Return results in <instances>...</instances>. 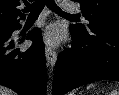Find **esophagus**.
<instances>
[{
  "label": "esophagus",
  "mask_w": 119,
  "mask_h": 95,
  "mask_svg": "<svg viewBox=\"0 0 119 95\" xmlns=\"http://www.w3.org/2000/svg\"><path fill=\"white\" fill-rule=\"evenodd\" d=\"M45 56L48 66H50V68L53 69L57 61L56 52L51 47H46Z\"/></svg>",
  "instance_id": "obj_1"
}]
</instances>
